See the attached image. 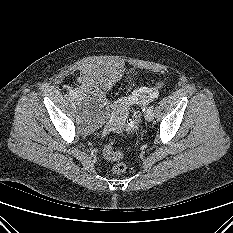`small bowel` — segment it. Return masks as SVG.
Wrapping results in <instances>:
<instances>
[{
    "label": "small bowel",
    "mask_w": 233,
    "mask_h": 233,
    "mask_svg": "<svg viewBox=\"0 0 233 233\" xmlns=\"http://www.w3.org/2000/svg\"><path fill=\"white\" fill-rule=\"evenodd\" d=\"M140 98H141V96L139 94H134V95H130V96L122 99L119 103V106H118L119 114L121 115L122 112L124 111V109H126L128 106L136 103ZM142 101H144V100H142Z\"/></svg>",
    "instance_id": "c3829d8e"
}]
</instances>
